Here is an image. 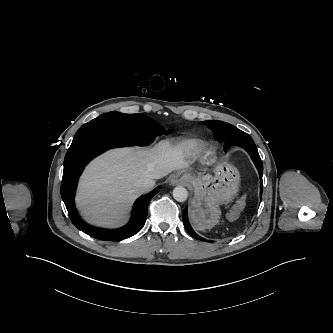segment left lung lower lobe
Instances as JSON below:
<instances>
[{"instance_id": "obj_1", "label": "left lung lower lobe", "mask_w": 333, "mask_h": 333, "mask_svg": "<svg viewBox=\"0 0 333 333\" xmlns=\"http://www.w3.org/2000/svg\"><path fill=\"white\" fill-rule=\"evenodd\" d=\"M230 139H240V141L237 140H227L225 142V151L228 149V147H230L231 145H237L240 147H243L251 156L256 168L258 169L259 175H260V197H262V188H263V183H262V174H263V164L261 161V158L258 154L257 148L255 143L253 142L252 138L244 133L243 131H239L236 135H234L233 137H231ZM182 218H183V223L184 226L187 230V232L195 239L198 240H202V241H207L204 238L200 237L199 235H197L194 230L192 229V227L190 226L189 220H188V216H187V208H185L182 212ZM208 242H212V241H208Z\"/></svg>"}]
</instances>
